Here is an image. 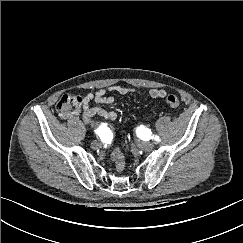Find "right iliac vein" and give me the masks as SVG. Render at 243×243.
Returning a JSON list of instances; mask_svg holds the SVG:
<instances>
[{"instance_id":"obj_1","label":"right iliac vein","mask_w":243,"mask_h":243,"mask_svg":"<svg viewBox=\"0 0 243 243\" xmlns=\"http://www.w3.org/2000/svg\"><path fill=\"white\" fill-rule=\"evenodd\" d=\"M100 146H101V144H100V142L97 141V140H94V141H92V143H91V147H92L93 149H97V148H99Z\"/></svg>"}]
</instances>
